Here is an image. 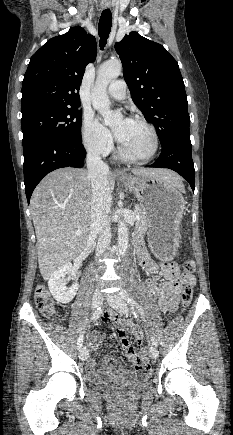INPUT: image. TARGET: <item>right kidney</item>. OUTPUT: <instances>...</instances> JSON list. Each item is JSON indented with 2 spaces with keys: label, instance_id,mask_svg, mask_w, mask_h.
Returning <instances> with one entry per match:
<instances>
[{
  "label": "right kidney",
  "instance_id": "obj_1",
  "mask_svg": "<svg viewBox=\"0 0 233 435\" xmlns=\"http://www.w3.org/2000/svg\"><path fill=\"white\" fill-rule=\"evenodd\" d=\"M73 270L71 263H66L58 268L48 281L49 290L53 298L62 304H67L75 297L78 291V283L75 282L71 287H66V275Z\"/></svg>",
  "mask_w": 233,
  "mask_h": 435
}]
</instances>
